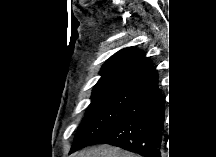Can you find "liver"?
Here are the masks:
<instances>
[{
	"label": "liver",
	"instance_id": "obj_1",
	"mask_svg": "<svg viewBox=\"0 0 216 157\" xmlns=\"http://www.w3.org/2000/svg\"><path fill=\"white\" fill-rule=\"evenodd\" d=\"M77 157H137V155L117 147L100 145L78 153Z\"/></svg>",
	"mask_w": 216,
	"mask_h": 157
}]
</instances>
